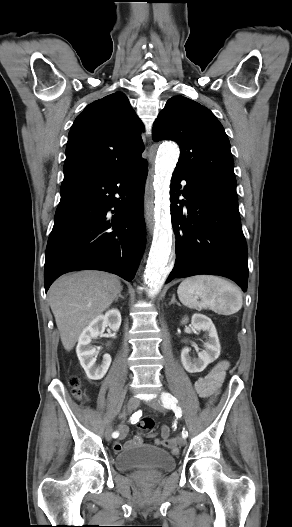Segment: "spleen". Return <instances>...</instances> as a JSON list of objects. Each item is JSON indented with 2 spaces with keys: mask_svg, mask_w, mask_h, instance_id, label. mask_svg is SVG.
Here are the masks:
<instances>
[{
  "mask_svg": "<svg viewBox=\"0 0 292 527\" xmlns=\"http://www.w3.org/2000/svg\"><path fill=\"white\" fill-rule=\"evenodd\" d=\"M177 294L186 307L210 308L217 313L234 314L243 304L242 293L238 287L212 275H197L184 279L178 286Z\"/></svg>",
  "mask_w": 292,
  "mask_h": 527,
  "instance_id": "1",
  "label": "spleen"
}]
</instances>
